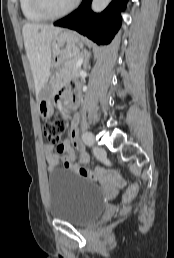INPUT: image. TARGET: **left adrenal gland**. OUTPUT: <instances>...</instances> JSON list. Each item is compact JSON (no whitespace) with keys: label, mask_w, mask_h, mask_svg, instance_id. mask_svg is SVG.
<instances>
[{"label":"left adrenal gland","mask_w":174,"mask_h":258,"mask_svg":"<svg viewBox=\"0 0 174 258\" xmlns=\"http://www.w3.org/2000/svg\"><path fill=\"white\" fill-rule=\"evenodd\" d=\"M83 57H84V67H86L89 63L90 53L84 52Z\"/></svg>","instance_id":"left-adrenal-gland-1"}]
</instances>
